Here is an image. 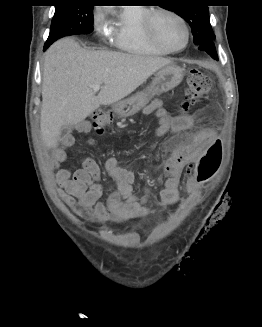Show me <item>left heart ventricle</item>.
<instances>
[{"label":"left heart ventricle","mask_w":262,"mask_h":327,"mask_svg":"<svg viewBox=\"0 0 262 327\" xmlns=\"http://www.w3.org/2000/svg\"><path fill=\"white\" fill-rule=\"evenodd\" d=\"M155 29L161 41L170 48H180L186 40L184 26L171 15H157L155 18Z\"/></svg>","instance_id":"1"}]
</instances>
